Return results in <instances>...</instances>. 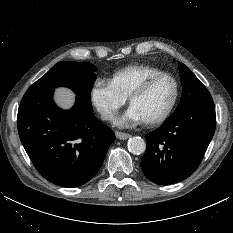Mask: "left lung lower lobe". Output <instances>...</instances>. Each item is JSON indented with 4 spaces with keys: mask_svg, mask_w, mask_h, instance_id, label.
I'll return each instance as SVG.
<instances>
[{
    "mask_svg": "<svg viewBox=\"0 0 233 233\" xmlns=\"http://www.w3.org/2000/svg\"><path fill=\"white\" fill-rule=\"evenodd\" d=\"M215 126L213 100L169 117L155 132L145 135L147 149L141 160L145 176L159 185L189 177L201 163Z\"/></svg>",
    "mask_w": 233,
    "mask_h": 233,
    "instance_id": "1",
    "label": "left lung lower lobe"
}]
</instances>
